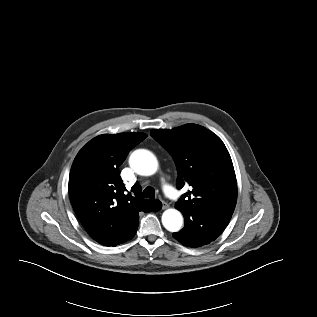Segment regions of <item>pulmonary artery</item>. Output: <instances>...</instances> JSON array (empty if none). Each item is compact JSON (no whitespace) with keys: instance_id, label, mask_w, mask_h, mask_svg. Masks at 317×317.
<instances>
[{"instance_id":"e3ab8cb5","label":"pulmonary artery","mask_w":317,"mask_h":317,"mask_svg":"<svg viewBox=\"0 0 317 317\" xmlns=\"http://www.w3.org/2000/svg\"><path fill=\"white\" fill-rule=\"evenodd\" d=\"M164 191L171 198L177 197L176 191L172 187H170L169 185H166V184L164 185Z\"/></svg>"}]
</instances>
